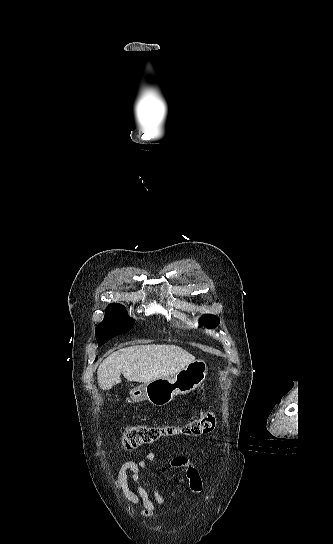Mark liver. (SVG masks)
Here are the masks:
<instances>
[{
    "label": "liver",
    "instance_id": "6515ba94",
    "mask_svg": "<svg viewBox=\"0 0 333 544\" xmlns=\"http://www.w3.org/2000/svg\"><path fill=\"white\" fill-rule=\"evenodd\" d=\"M195 357L176 345H134L111 353L97 371L99 387L109 390L121 382L120 375L134 382L169 377L193 362Z\"/></svg>",
    "mask_w": 333,
    "mask_h": 544
}]
</instances>
